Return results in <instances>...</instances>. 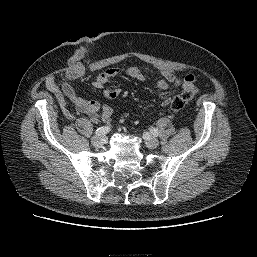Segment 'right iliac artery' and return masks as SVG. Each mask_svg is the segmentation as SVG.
I'll list each match as a JSON object with an SVG mask.
<instances>
[{
    "mask_svg": "<svg viewBox=\"0 0 257 257\" xmlns=\"http://www.w3.org/2000/svg\"><path fill=\"white\" fill-rule=\"evenodd\" d=\"M110 128L108 126H102L95 131L96 136H102L108 133Z\"/></svg>",
    "mask_w": 257,
    "mask_h": 257,
    "instance_id": "82829eb1",
    "label": "right iliac artery"
}]
</instances>
